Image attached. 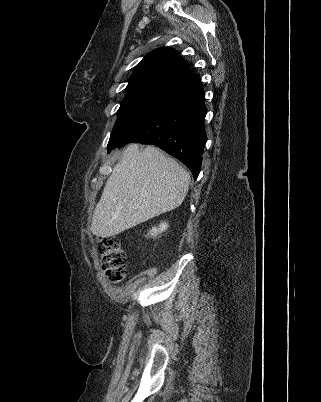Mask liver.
Masks as SVG:
<instances>
[{
    "label": "liver",
    "instance_id": "liver-1",
    "mask_svg": "<svg viewBox=\"0 0 321 402\" xmlns=\"http://www.w3.org/2000/svg\"><path fill=\"white\" fill-rule=\"evenodd\" d=\"M190 175L154 146L129 145L113 167L97 203L91 231L115 236L181 205Z\"/></svg>",
    "mask_w": 321,
    "mask_h": 402
}]
</instances>
